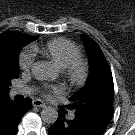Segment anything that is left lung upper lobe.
Returning a JSON list of instances; mask_svg holds the SVG:
<instances>
[{"mask_svg":"<svg viewBox=\"0 0 135 135\" xmlns=\"http://www.w3.org/2000/svg\"><path fill=\"white\" fill-rule=\"evenodd\" d=\"M90 61V73L85 87L74 94L66 107L76 113H98L112 117L114 84L108 63L98 46L89 36H82Z\"/></svg>","mask_w":135,"mask_h":135,"instance_id":"5c2ea615","label":"left lung upper lobe"}]
</instances>
